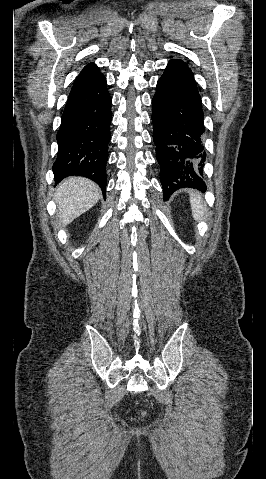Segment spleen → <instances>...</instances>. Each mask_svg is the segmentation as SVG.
Listing matches in <instances>:
<instances>
[{
  "label": "spleen",
  "instance_id": "1",
  "mask_svg": "<svg viewBox=\"0 0 266 479\" xmlns=\"http://www.w3.org/2000/svg\"><path fill=\"white\" fill-rule=\"evenodd\" d=\"M190 204L192 209L193 218L196 221H201L204 218L205 208L203 204V199L198 192L190 193Z\"/></svg>",
  "mask_w": 266,
  "mask_h": 479
}]
</instances>
